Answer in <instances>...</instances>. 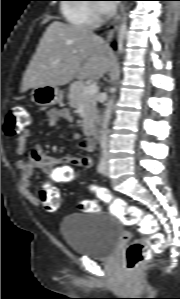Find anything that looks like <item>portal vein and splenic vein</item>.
I'll use <instances>...</instances> for the list:
<instances>
[{"instance_id":"1","label":"portal vein and splenic vein","mask_w":180,"mask_h":299,"mask_svg":"<svg viewBox=\"0 0 180 299\" xmlns=\"http://www.w3.org/2000/svg\"><path fill=\"white\" fill-rule=\"evenodd\" d=\"M98 92V87L96 84H91L83 89V95H94Z\"/></svg>"}]
</instances>
